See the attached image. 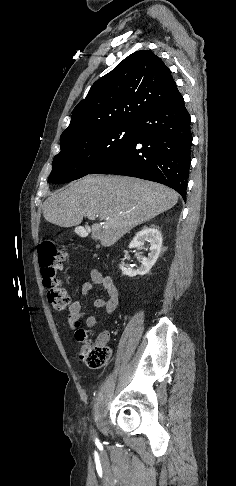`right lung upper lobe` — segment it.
Wrapping results in <instances>:
<instances>
[{
    "label": "right lung upper lobe",
    "instance_id": "1",
    "mask_svg": "<svg viewBox=\"0 0 236 486\" xmlns=\"http://www.w3.org/2000/svg\"><path fill=\"white\" fill-rule=\"evenodd\" d=\"M181 98L164 62L150 50L136 51L92 85L74 108L60 142L89 131L136 123L152 108Z\"/></svg>",
    "mask_w": 236,
    "mask_h": 486
}]
</instances>
